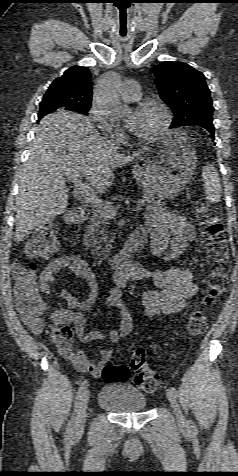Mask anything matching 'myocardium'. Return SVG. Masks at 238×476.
Segmentation results:
<instances>
[{"mask_svg": "<svg viewBox=\"0 0 238 476\" xmlns=\"http://www.w3.org/2000/svg\"><path fill=\"white\" fill-rule=\"evenodd\" d=\"M146 107H155V108L159 109L162 113L163 119H162V122L159 125V127H157L154 131H152L148 135H146V136L135 135V138L139 141H150V140H153L154 138L162 135L163 133H165L167 131V129L169 128V126L171 124V121H172L171 111L165 103H163L161 101H158V100L149 99V100H145V101L140 102L137 105L136 110H140V109H143V108H146Z\"/></svg>", "mask_w": 238, "mask_h": 476, "instance_id": "myocardium-1", "label": "myocardium"}]
</instances>
